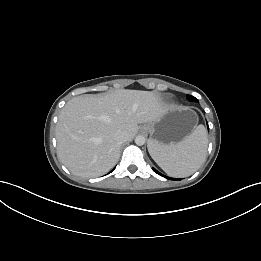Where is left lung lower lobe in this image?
<instances>
[{
  "instance_id": "left-lung-lower-lobe-1",
  "label": "left lung lower lobe",
  "mask_w": 261,
  "mask_h": 261,
  "mask_svg": "<svg viewBox=\"0 0 261 261\" xmlns=\"http://www.w3.org/2000/svg\"><path fill=\"white\" fill-rule=\"evenodd\" d=\"M153 171H154L155 173H157V174H159V175H161V176L167 178V179H171V180H180V179H175V178H170V177L164 176V175H162L161 173H159L155 168H153Z\"/></svg>"
}]
</instances>
